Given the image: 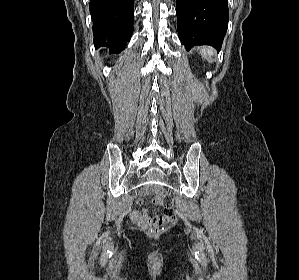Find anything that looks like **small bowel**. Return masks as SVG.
<instances>
[{
    "label": "small bowel",
    "instance_id": "small-bowel-1",
    "mask_svg": "<svg viewBox=\"0 0 299 280\" xmlns=\"http://www.w3.org/2000/svg\"><path fill=\"white\" fill-rule=\"evenodd\" d=\"M141 203H142V200L140 199L139 204H141ZM131 217L136 223H138L142 226H147L150 221V218L146 217V214L139 210H134L131 213Z\"/></svg>",
    "mask_w": 299,
    "mask_h": 280
}]
</instances>
